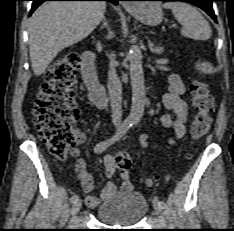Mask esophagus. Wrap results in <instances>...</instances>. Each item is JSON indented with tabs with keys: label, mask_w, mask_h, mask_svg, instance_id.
<instances>
[{
	"label": "esophagus",
	"mask_w": 234,
	"mask_h": 231,
	"mask_svg": "<svg viewBox=\"0 0 234 231\" xmlns=\"http://www.w3.org/2000/svg\"><path fill=\"white\" fill-rule=\"evenodd\" d=\"M124 7L126 9L136 8V6H134L133 4H129V3L124 4Z\"/></svg>",
	"instance_id": "esophagus-1"
}]
</instances>
